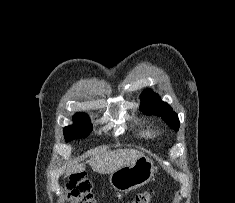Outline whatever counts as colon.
Instances as JSON below:
<instances>
[{"label":"colon","mask_w":235,"mask_h":203,"mask_svg":"<svg viewBox=\"0 0 235 203\" xmlns=\"http://www.w3.org/2000/svg\"><path fill=\"white\" fill-rule=\"evenodd\" d=\"M67 187V199L70 203H97L92 193V184L83 174L70 177ZM152 190L138 193L130 203H151Z\"/></svg>","instance_id":"colon-1"}]
</instances>
